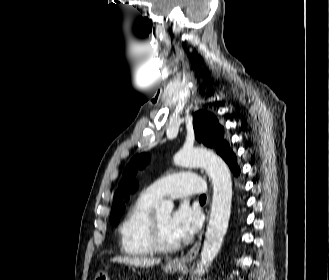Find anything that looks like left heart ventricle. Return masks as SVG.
Returning <instances> with one entry per match:
<instances>
[{"instance_id":"1","label":"left heart ventricle","mask_w":329,"mask_h":280,"mask_svg":"<svg viewBox=\"0 0 329 280\" xmlns=\"http://www.w3.org/2000/svg\"><path fill=\"white\" fill-rule=\"evenodd\" d=\"M159 231L162 239L170 244L177 243L169 229L170 212L162 211L156 213Z\"/></svg>"}]
</instances>
